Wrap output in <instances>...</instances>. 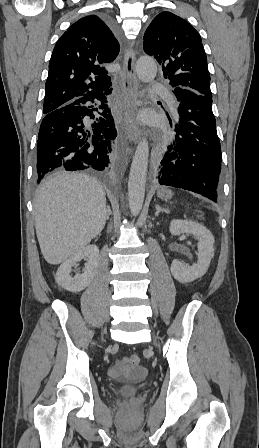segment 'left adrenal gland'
<instances>
[{
    "mask_svg": "<svg viewBox=\"0 0 259 448\" xmlns=\"http://www.w3.org/2000/svg\"><path fill=\"white\" fill-rule=\"evenodd\" d=\"M157 212L155 216H158L159 212H165V214H170L169 210H164V208H160V206H155Z\"/></svg>",
    "mask_w": 259,
    "mask_h": 448,
    "instance_id": "obj_1",
    "label": "left adrenal gland"
}]
</instances>
